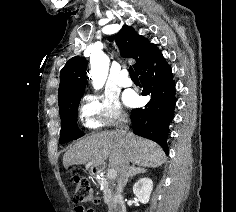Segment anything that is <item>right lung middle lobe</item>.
Wrapping results in <instances>:
<instances>
[{
  "label": "right lung middle lobe",
  "mask_w": 236,
  "mask_h": 212,
  "mask_svg": "<svg viewBox=\"0 0 236 212\" xmlns=\"http://www.w3.org/2000/svg\"><path fill=\"white\" fill-rule=\"evenodd\" d=\"M81 97L72 100L68 106L60 110V117L62 121L60 143L75 140L84 135V133L81 132L77 126V111Z\"/></svg>",
  "instance_id": "1"
}]
</instances>
